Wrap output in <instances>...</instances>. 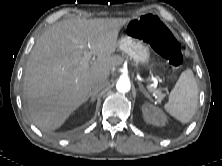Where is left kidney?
<instances>
[{
	"label": "left kidney",
	"mask_w": 222,
	"mask_h": 166,
	"mask_svg": "<svg viewBox=\"0 0 222 166\" xmlns=\"http://www.w3.org/2000/svg\"><path fill=\"white\" fill-rule=\"evenodd\" d=\"M142 112L145 121L150 124L156 126H164L167 121L165 113L161 109L149 103H145L142 105Z\"/></svg>",
	"instance_id": "obj_1"
}]
</instances>
